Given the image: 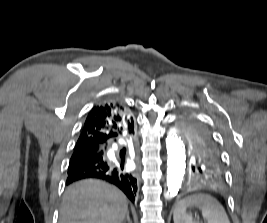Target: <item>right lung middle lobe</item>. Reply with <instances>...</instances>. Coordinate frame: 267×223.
<instances>
[{
	"label": "right lung middle lobe",
	"mask_w": 267,
	"mask_h": 223,
	"mask_svg": "<svg viewBox=\"0 0 267 223\" xmlns=\"http://www.w3.org/2000/svg\"><path fill=\"white\" fill-rule=\"evenodd\" d=\"M91 152H93V151L90 149H86V148L75 149L74 153L71 157V160L79 158V157L84 156L86 154H89Z\"/></svg>",
	"instance_id": "obj_1"
}]
</instances>
